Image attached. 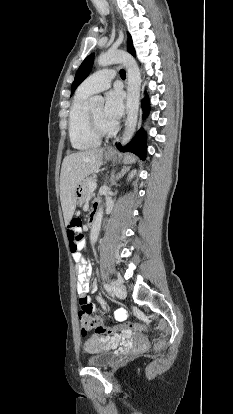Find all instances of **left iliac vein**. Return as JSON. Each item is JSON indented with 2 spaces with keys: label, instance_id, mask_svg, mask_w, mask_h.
I'll use <instances>...</instances> for the list:
<instances>
[{
  "label": "left iliac vein",
  "instance_id": "1",
  "mask_svg": "<svg viewBox=\"0 0 233 414\" xmlns=\"http://www.w3.org/2000/svg\"><path fill=\"white\" fill-rule=\"evenodd\" d=\"M111 287L116 297L120 299H123L126 297V289H125V286L121 282L113 281L111 282Z\"/></svg>",
  "mask_w": 233,
  "mask_h": 414
}]
</instances>
